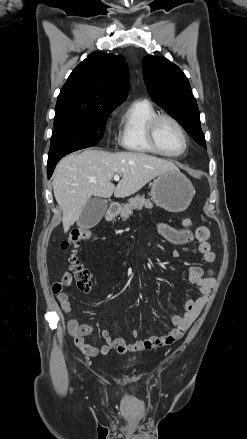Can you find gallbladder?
I'll use <instances>...</instances> for the list:
<instances>
[{"mask_svg": "<svg viewBox=\"0 0 247 439\" xmlns=\"http://www.w3.org/2000/svg\"><path fill=\"white\" fill-rule=\"evenodd\" d=\"M107 206V200L98 197L91 198L84 206L77 225L84 229L96 226L104 216Z\"/></svg>", "mask_w": 247, "mask_h": 439, "instance_id": "obj_1", "label": "gallbladder"}]
</instances>
